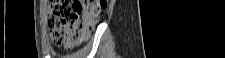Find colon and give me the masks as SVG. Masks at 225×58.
<instances>
[{
    "label": "colon",
    "instance_id": "5ec220e1",
    "mask_svg": "<svg viewBox=\"0 0 225 58\" xmlns=\"http://www.w3.org/2000/svg\"><path fill=\"white\" fill-rule=\"evenodd\" d=\"M105 9L102 0H52L48 27L54 44L71 49L83 43Z\"/></svg>",
    "mask_w": 225,
    "mask_h": 58
}]
</instances>
